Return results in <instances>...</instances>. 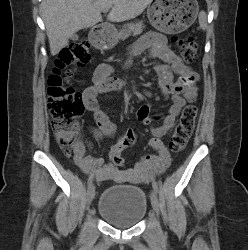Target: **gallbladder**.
<instances>
[{
	"label": "gallbladder",
	"mask_w": 248,
	"mask_h": 250,
	"mask_svg": "<svg viewBox=\"0 0 248 250\" xmlns=\"http://www.w3.org/2000/svg\"><path fill=\"white\" fill-rule=\"evenodd\" d=\"M79 37H78V35L77 34H73L72 36H71V39L72 40H77Z\"/></svg>",
	"instance_id": "obj_1"
}]
</instances>
